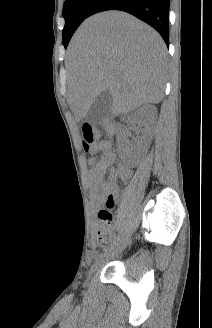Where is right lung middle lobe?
Instances as JSON below:
<instances>
[{
  "label": "right lung middle lobe",
  "mask_w": 212,
  "mask_h": 328,
  "mask_svg": "<svg viewBox=\"0 0 212 328\" xmlns=\"http://www.w3.org/2000/svg\"><path fill=\"white\" fill-rule=\"evenodd\" d=\"M96 0H66L63 6L65 26L63 29V44L66 48L73 33L88 17V13Z\"/></svg>",
  "instance_id": "obj_1"
}]
</instances>
